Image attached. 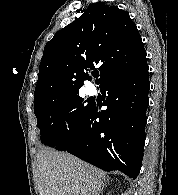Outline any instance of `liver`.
I'll return each mask as SVG.
<instances>
[{
	"label": "liver",
	"instance_id": "6515ba94",
	"mask_svg": "<svg viewBox=\"0 0 178 195\" xmlns=\"http://www.w3.org/2000/svg\"><path fill=\"white\" fill-rule=\"evenodd\" d=\"M37 180L40 195H98L107 177L69 153L43 149L37 154Z\"/></svg>",
	"mask_w": 178,
	"mask_h": 195
}]
</instances>
